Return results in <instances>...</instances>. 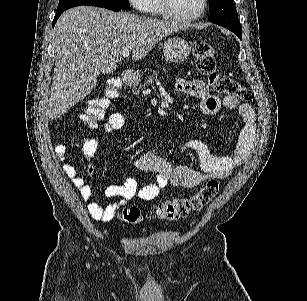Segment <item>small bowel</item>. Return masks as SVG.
<instances>
[{"mask_svg": "<svg viewBox=\"0 0 307 301\" xmlns=\"http://www.w3.org/2000/svg\"><path fill=\"white\" fill-rule=\"evenodd\" d=\"M177 89L184 94L199 99L201 111L207 115L218 113L222 107L227 109L238 107L242 118V128L233 155L216 156L201 141L189 140L182 145V151H191L197 155L200 170H194L186 166H175L172 162L154 152H145L136 160L135 165L141 170L155 172L156 178L140 189L133 178H127L122 184L108 186L105 190L106 196L120 198L121 201L106 206L97 202H89L87 210L93 219L103 222L109 221L118 208L133 197L138 196L145 201L153 200L169 183L177 187L194 188L208 179L226 178L248 158L256 133V116L250 104L241 102L240 99L231 95L219 98L210 93L207 84L202 80H179ZM124 124V113L114 112L108 117L104 130L113 132L121 129ZM83 151L87 160L93 158L97 151V141L92 138L85 140ZM55 152L58 159L63 162L64 172L78 189L82 199L90 200L92 197L90 185L77 174L72 163L65 161L67 146L58 144ZM87 170L89 174H92L93 165L89 164Z\"/></svg>", "mask_w": 307, "mask_h": 301, "instance_id": "obj_1", "label": "small bowel"}]
</instances>
